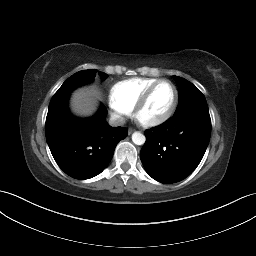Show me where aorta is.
<instances>
[{
    "label": "aorta",
    "instance_id": "aorta-1",
    "mask_svg": "<svg viewBox=\"0 0 256 256\" xmlns=\"http://www.w3.org/2000/svg\"><path fill=\"white\" fill-rule=\"evenodd\" d=\"M132 141L136 145H143L146 141L145 136L140 132H134L132 134Z\"/></svg>",
    "mask_w": 256,
    "mask_h": 256
}]
</instances>
